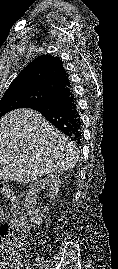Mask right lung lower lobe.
<instances>
[{
	"label": "right lung lower lobe",
	"mask_w": 118,
	"mask_h": 269,
	"mask_svg": "<svg viewBox=\"0 0 118 269\" xmlns=\"http://www.w3.org/2000/svg\"><path fill=\"white\" fill-rule=\"evenodd\" d=\"M40 112L50 123L76 143L81 139V120L71 86L27 106Z\"/></svg>",
	"instance_id": "1"
}]
</instances>
